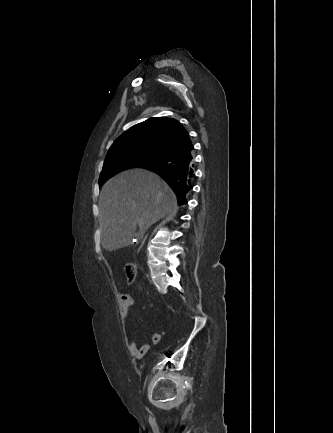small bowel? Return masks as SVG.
Returning <instances> with one entry per match:
<instances>
[{
	"instance_id": "c3829d8e",
	"label": "small bowel",
	"mask_w": 333,
	"mask_h": 433,
	"mask_svg": "<svg viewBox=\"0 0 333 433\" xmlns=\"http://www.w3.org/2000/svg\"><path fill=\"white\" fill-rule=\"evenodd\" d=\"M133 297L130 294H121L120 296V317L122 320L123 326L126 328L130 322L129 310L133 305ZM153 344H158L161 340V334L158 332H154L151 337ZM128 348L130 353L140 359L144 355H146L150 349V345L148 343H144L138 345L133 339L128 338Z\"/></svg>"
}]
</instances>
